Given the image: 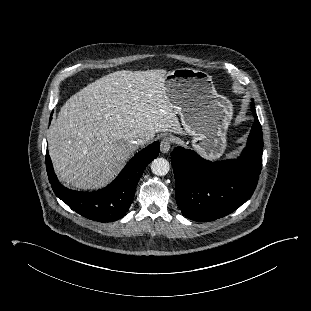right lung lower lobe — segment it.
<instances>
[{
  "label": "right lung lower lobe",
  "instance_id": "obj_1",
  "mask_svg": "<svg viewBox=\"0 0 311 311\" xmlns=\"http://www.w3.org/2000/svg\"><path fill=\"white\" fill-rule=\"evenodd\" d=\"M51 120V118H50ZM158 141L137 153L108 186L94 192H78L65 188L57 179L48 151L46 168L49 182L57 197L78 214L99 222H113L128 211L136 185L146 166L159 155Z\"/></svg>",
  "mask_w": 311,
  "mask_h": 311
}]
</instances>
